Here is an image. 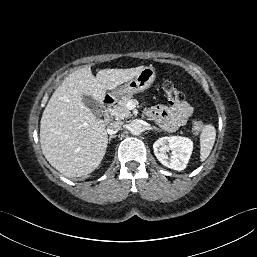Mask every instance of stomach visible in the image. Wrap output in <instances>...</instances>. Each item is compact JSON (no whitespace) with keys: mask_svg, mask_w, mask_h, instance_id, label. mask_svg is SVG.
<instances>
[{"mask_svg":"<svg viewBox=\"0 0 257 257\" xmlns=\"http://www.w3.org/2000/svg\"><path fill=\"white\" fill-rule=\"evenodd\" d=\"M156 78V71L152 66L144 67L141 72L130 81L111 92L114 98L137 94L148 89Z\"/></svg>","mask_w":257,"mask_h":257,"instance_id":"1","label":"stomach"}]
</instances>
